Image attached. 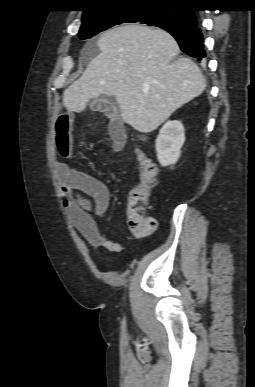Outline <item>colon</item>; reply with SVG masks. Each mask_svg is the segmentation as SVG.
<instances>
[{
    "mask_svg": "<svg viewBox=\"0 0 255 387\" xmlns=\"http://www.w3.org/2000/svg\"><path fill=\"white\" fill-rule=\"evenodd\" d=\"M134 151L139 163L140 182L128 194L126 214L132 232L145 237L152 234L157 227L156 220L146 214L147 203L157 184V167L144 151L139 148Z\"/></svg>",
    "mask_w": 255,
    "mask_h": 387,
    "instance_id": "obj_1",
    "label": "colon"
}]
</instances>
